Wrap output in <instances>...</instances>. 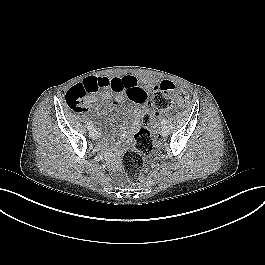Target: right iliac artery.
Masks as SVG:
<instances>
[{
    "mask_svg": "<svg viewBox=\"0 0 265 265\" xmlns=\"http://www.w3.org/2000/svg\"><path fill=\"white\" fill-rule=\"evenodd\" d=\"M87 128H88V130H91L93 128L92 122L87 123Z\"/></svg>",
    "mask_w": 265,
    "mask_h": 265,
    "instance_id": "1",
    "label": "right iliac artery"
}]
</instances>
